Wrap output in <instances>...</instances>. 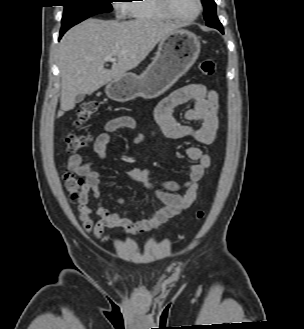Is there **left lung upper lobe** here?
Here are the masks:
<instances>
[{"label":"left lung upper lobe","mask_w":304,"mask_h":329,"mask_svg":"<svg viewBox=\"0 0 304 329\" xmlns=\"http://www.w3.org/2000/svg\"><path fill=\"white\" fill-rule=\"evenodd\" d=\"M204 6V18L206 22L210 21L213 14L216 13V3L214 0H201Z\"/></svg>","instance_id":"left-lung-upper-lobe-1"}]
</instances>
